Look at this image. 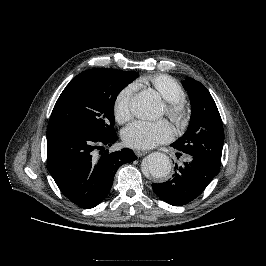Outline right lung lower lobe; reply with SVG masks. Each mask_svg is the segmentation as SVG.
I'll return each instance as SVG.
<instances>
[{"label": "right lung lower lobe", "instance_id": "98d812e1", "mask_svg": "<svg viewBox=\"0 0 266 266\" xmlns=\"http://www.w3.org/2000/svg\"><path fill=\"white\" fill-rule=\"evenodd\" d=\"M116 140L115 132L96 135L68 126H48L47 169L63 195L79 207L98 205L109 193L117 169L137 159L131 149L112 153L101 149Z\"/></svg>", "mask_w": 266, "mask_h": 266}]
</instances>
